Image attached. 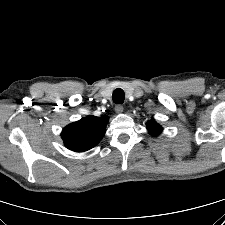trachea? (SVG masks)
<instances>
[{
    "instance_id": "trachea-1",
    "label": "trachea",
    "mask_w": 225,
    "mask_h": 225,
    "mask_svg": "<svg viewBox=\"0 0 225 225\" xmlns=\"http://www.w3.org/2000/svg\"><path fill=\"white\" fill-rule=\"evenodd\" d=\"M125 93L121 88H117L113 91L112 99L116 104H122L124 102Z\"/></svg>"
}]
</instances>
